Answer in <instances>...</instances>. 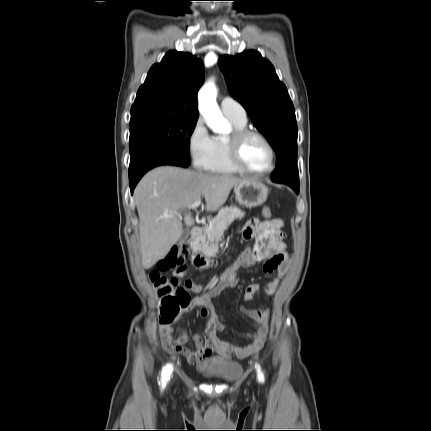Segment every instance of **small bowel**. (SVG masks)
Returning <instances> with one entry per match:
<instances>
[{
    "mask_svg": "<svg viewBox=\"0 0 431 431\" xmlns=\"http://www.w3.org/2000/svg\"><path fill=\"white\" fill-rule=\"evenodd\" d=\"M283 221L281 219H272L261 221L251 219L243 230V239L245 241L253 240L250 246L252 256L245 262L243 268L252 267L258 263H262L263 272L266 274L276 273V277L267 283L263 290L266 294L272 295L276 292L279 279L283 276L286 266L289 261V256L286 250L284 241V233L282 231ZM224 272V274H223ZM223 272H218V277H229L230 267L224 266ZM237 283H239V274L235 273ZM185 286L194 293L206 295L207 290L203 284H197L192 280H186ZM259 291L258 284H249L244 291V300L250 301ZM194 297L191 301H195ZM196 309V308H195ZM201 309V314L207 320L206 330L203 336L194 335L193 341L195 349L190 350L185 347L188 341V333L186 330L174 327L173 322L161 324L159 327V335L162 341V346L169 354H181L186 357L189 363L195 364L199 369H208L225 363L232 356L245 358L257 353L264 345L268 330L269 311L267 309H247L242 308V311L253 318V333L244 334V337L251 341L245 346H236L225 342L218 337V333L226 329L221 316L214 310V304L208 309ZM217 353L216 356L213 353Z\"/></svg>",
    "mask_w": 431,
    "mask_h": 431,
    "instance_id": "obj_1",
    "label": "small bowel"
}]
</instances>
